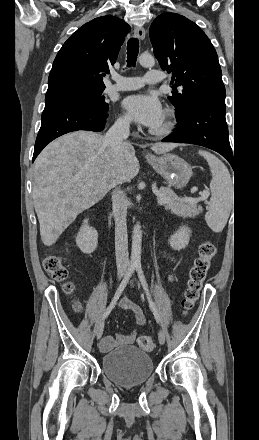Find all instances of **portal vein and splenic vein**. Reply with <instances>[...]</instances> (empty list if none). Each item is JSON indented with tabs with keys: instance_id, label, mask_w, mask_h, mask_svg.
I'll return each mask as SVG.
<instances>
[{
	"instance_id": "portal-vein-and-splenic-vein-1",
	"label": "portal vein and splenic vein",
	"mask_w": 259,
	"mask_h": 440,
	"mask_svg": "<svg viewBox=\"0 0 259 440\" xmlns=\"http://www.w3.org/2000/svg\"><path fill=\"white\" fill-rule=\"evenodd\" d=\"M197 190L198 189L196 187L192 189L193 192H196ZM156 195L158 196V204L159 205H164L168 201H170V198L163 197V195L161 193H156ZM208 196H209V192L203 191L201 193V197L199 199H195V198H191V197H184L183 200L188 201V202H195V201H200V200H206L208 198Z\"/></svg>"
}]
</instances>
